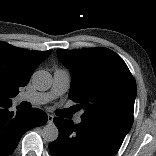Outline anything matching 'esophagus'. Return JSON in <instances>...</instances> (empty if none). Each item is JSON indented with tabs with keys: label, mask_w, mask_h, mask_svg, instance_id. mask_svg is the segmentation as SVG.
<instances>
[{
	"label": "esophagus",
	"mask_w": 156,
	"mask_h": 156,
	"mask_svg": "<svg viewBox=\"0 0 156 156\" xmlns=\"http://www.w3.org/2000/svg\"><path fill=\"white\" fill-rule=\"evenodd\" d=\"M53 119H54V117L52 115L48 114V121L47 122L49 124L53 123Z\"/></svg>",
	"instance_id": "esophagus-1"
}]
</instances>
